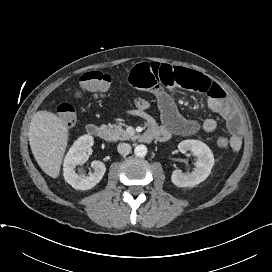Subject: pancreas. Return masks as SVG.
<instances>
[{
	"mask_svg": "<svg viewBox=\"0 0 272 272\" xmlns=\"http://www.w3.org/2000/svg\"><path fill=\"white\" fill-rule=\"evenodd\" d=\"M108 136V140L117 141V140H129L133 137L122 128L121 125L117 124H108L104 126Z\"/></svg>",
	"mask_w": 272,
	"mask_h": 272,
	"instance_id": "pancreas-1",
	"label": "pancreas"
}]
</instances>
